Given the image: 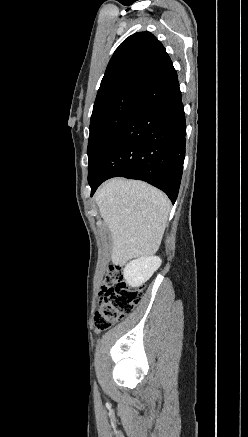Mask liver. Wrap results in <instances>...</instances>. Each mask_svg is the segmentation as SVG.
<instances>
[{
	"instance_id": "liver-1",
	"label": "liver",
	"mask_w": 248,
	"mask_h": 437,
	"mask_svg": "<svg viewBox=\"0 0 248 437\" xmlns=\"http://www.w3.org/2000/svg\"><path fill=\"white\" fill-rule=\"evenodd\" d=\"M95 201L111 233L114 263L156 253L170 211L163 192L145 182L115 178L99 187Z\"/></svg>"
}]
</instances>
